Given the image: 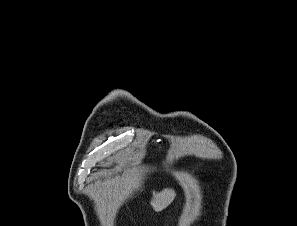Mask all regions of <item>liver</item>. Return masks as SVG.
Segmentation results:
<instances>
[{
  "mask_svg": "<svg viewBox=\"0 0 297 226\" xmlns=\"http://www.w3.org/2000/svg\"><path fill=\"white\" fill-rule=\"evenodd\" d=\"M175 196L174 190L166 188L159 193H153L151 205L156 212H160L172 203Z\"/></svg>",
  "mask_w": 297,
  "mask_h": 226,
  "instance_id": "obj_1",
  "label": "liver"
}]
</instances>
